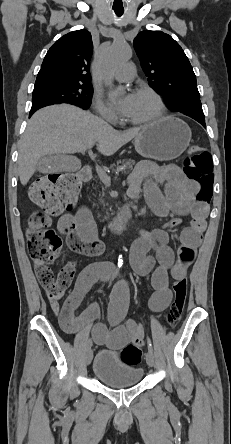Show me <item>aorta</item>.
Instances as JSON below:
<instances>
[{"instance_id": "aorta-1", "label": "aorta", "mask_w": 231, "mask_h": 444, "mask_svg": "<svg viewBox=\"0 0 231 444\" xmlns=\"http://www.w3.org/2000/svg\"><path fill=\"white\" fill-rule=\"evenodd\" d=\"M130 57H131L130 46L124 41H116L103 55L100 62L101 69L104 72H108L120 66L127 60H129ZM106 84L112 87L111 81H106ZM121 93H123V89L120 87L114 90V95H120ZM118 263L119 264L122 263L121 257H119Z\"/></svg>"}]
</instances>
